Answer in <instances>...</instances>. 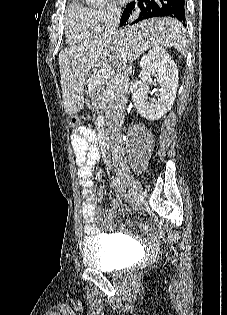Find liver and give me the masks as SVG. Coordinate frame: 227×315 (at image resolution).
<instances>
[{
    "mask_svg": "<svg viewBox=\"0 0 227 315\" xmlns=\"http://www.w3.org/2000/svg\"><path fill=\"white\" fill-rule=\"evenodd\" d=\"M184 33L177 19L152 18L64 49L59 54V66L65 112L75 114L84 107V85L92 72L93 77H105L104 81L115 75V69V77L124 70L129 75L134 61L157 46L173 47L186 55L188 45Z\"/></svg>",
    "mask_w": 227,
    "mask_h": 315,
    "instance_id": "6515ba94",
    "label": "liver"
}]
</instances>
